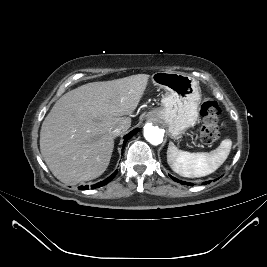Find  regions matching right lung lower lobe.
Masks as SVG:
<instances>
[{
	"label": "right lung lower lobe",
	"instance_id": "1",
	"mask_svg": "<svg viewBox=\"0 0 267 267\" xmlns=\"http://www.w3.org/2000/svg\"><path fill=\"white\" fill-rule=\"evenodd\" d=\"M138 132V129H134L133 131H131L130 133H128L125 138H124V143H123V147L125 146L126 142L134 135ZM117 174V170L108 178H106L104 181H101L95 185H92L91 188L92 189H95V188H98V187H101L105 184H107L109 181H111L114 176ZM79 189H82V190H87L89 189V186H80Z\"/></svg>",
	"mask_w": 267,
	"mask_h": 267
}]
</instances>
